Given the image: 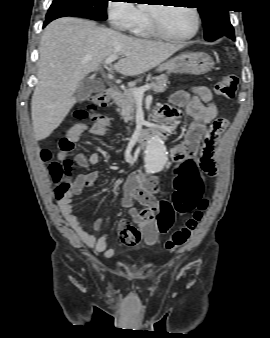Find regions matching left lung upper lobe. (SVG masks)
Segmentation results:
<instances>
[{"mask_svg": "<svg viewBox=\"0 0 270 338\" xmlns=\"http://www.w3.org/2000/svg\"><path fill=\"white\" fill-rule=\"evenodd\" d=\"M198 7L204 26V38L214 41L223 35L233 39V27L230 24L227 9L223 7L225 0H200Z\"/></svg>", "mask_w": 270, "mask_h": 338, "instance_id": "obj_1", "label": "left lung upper lobe"}]
</instances>
